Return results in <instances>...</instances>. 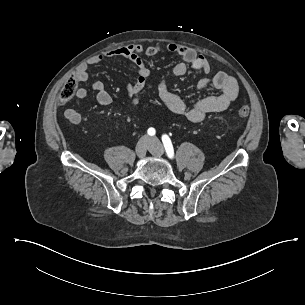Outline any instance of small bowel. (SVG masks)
Masks as SVG:
<instances>
[{"label": "small bowel", "mask_w": 305, "mask_h": 305, "mask_svg": "<svg viewBox=\"0 0 305 305\" xmlns=\"http://www.w3.org/2000/svg\"><path fill=\"white\" fill-rule=\"evenodd\" d=\"M165 48L182 59L161 79L157 87L158 99L169 111L185 117L191 123H199L210 113L226 110L236 99L238 85L235 78L223 71L212 73L211 65L205 56L198 54L193 48L182 44L168 43ZM160 50L161 47L159 45L144 46L142 44H129L113 48L103 54L90 57L85 63L80 65L75 73V79L77 82H87L89 80L88 69L90 66L109 58H124L128 60L130 67L137 74L135 82L128 84L126 87L127 94L129 95L137 88L146 87L150 77V69L144 58L154 57ZM189 65L206 75V78L199 83L200 88L211 86L219 90L220 94L203 97L192 106H187L179 95L170 91L168 87L170 80L185 75ZM91 88L95 91L96 99L100 105L109 106L112 103V97L105 89L103 82L93 81L91 82ZM86 96L87 90L85 88H77L75 102L80 103ZM64 116L75 125L79 124L82 120L81 115L74 108H67Z\"/></svg>", "instance_id": "obj_1"}]
</instances>
